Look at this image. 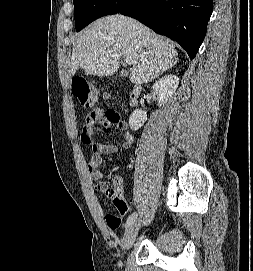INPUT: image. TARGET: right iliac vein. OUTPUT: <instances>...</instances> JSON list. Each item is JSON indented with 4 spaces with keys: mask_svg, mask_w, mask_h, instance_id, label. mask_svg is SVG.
I'll use <instances>...</instances> for the list:
<instances>
[{
    "mask_svg": "<svg viewBox=\"0 0 253 271\" xmlns=\"http://www.w3.org/2000/svg\"><path fill=\"white\" fill-rule=\"evenodd\" d=\"M140 225H141L140 221L135 220L126 228L122 241L123 248L125 250H128L132 247L135 238L137 236V233L139 231Z\"/></svg>",
    "mask_w": 253,
    "mask_h": 271,
    "instance_id": "obj_1",
    "label": "right iliac vein"
}]
</instances>
